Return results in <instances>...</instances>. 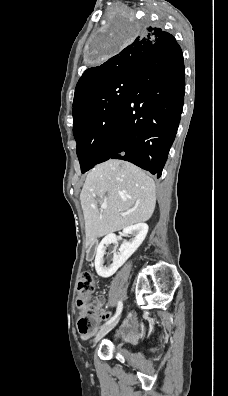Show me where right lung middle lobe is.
<instances>
[{"instance_id": "1", "label": "right lung middle lobe", "mask_w": 228, "mask_h": 396, "mask_svg": "<svg viewBox=\"0 0 228 396\" xmlns=\"http://www.w3.org/2000/svg\"><path fill=\"white\" fill-rule=\"evenodd\" d=\"M120 21L129 27L132 35L138 33L144 25L132 16L122 17ZM125 42L127 38L112 34L105 40V45L99 48L97 57H107ZM133 77L134 74L126 75L110 81L91 96L73 117L76 153L82 173L98 164L104 155L113 124L131 88Z\"/></svg>"}]
</instances>
